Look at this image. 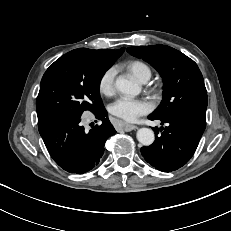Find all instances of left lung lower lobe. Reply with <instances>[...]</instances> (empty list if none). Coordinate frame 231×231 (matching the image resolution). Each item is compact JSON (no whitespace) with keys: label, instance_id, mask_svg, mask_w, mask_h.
Returning <instances> with one entry per match:
<instances>
[{"label":"left lung lower lobe","instance_id":"left-lung-lower-lobe-1","mask_svg":"<svg viewBox=\"0 0 231 231\" xmlns=\"http://www.w3.org/2000/svg\"><path fill=\"white\" fill-rule=\"evenodd\" d=\"M150 120L158 119L167 123V127L153 128L156 137L153 144L141 148L145 160L162 172H170L185 165L193 156L205 129V123L186 116L158 118L152 115Z\"/></svg>","mask_w":231,"mask_h":231}]
</instances>
